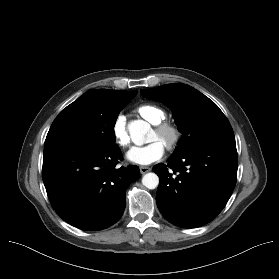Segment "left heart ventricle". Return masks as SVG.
<instances>
[{
  "instance_id": "obj_1",
  "label": "left heart ventricle",
  "mask_w": 279,
  "mask_h": 279,
  "mask_svg": "<svg viewBox=\"0 0 279 279\" xmlns=\"http://www.w3.org/2000/svg\"><path fill=\"white\" fill-rule=\"evenodd\" d=\"M153 140H159L160 142L163 143L162 139H160L157 134L155 133V131L153 130L151 135H150V138H149V141H153Z\"/></svg>"
}]
</instances>
